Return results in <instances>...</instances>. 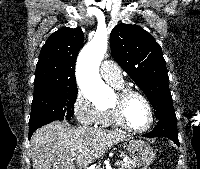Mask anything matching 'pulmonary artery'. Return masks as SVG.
Instances as JSON below:
<instances>
[{
    "label": "pulmonary artery",
    "mask_w": 200,
    "mask_h": 169,
    "mask_svg": "<svg viewBox=\"0 0 200 169\" xmlns=\"http://www.w3.org/2000/svg\"><path fill=\"white\" fill-rule=\"evenodd\" d=\"M100 73L109 83L122 84L123 78L119 65L113 61L106 60L101 63Z\"/></svg>",
    "instance_id": "pulmonary-artery-1"
}]
</instances>
